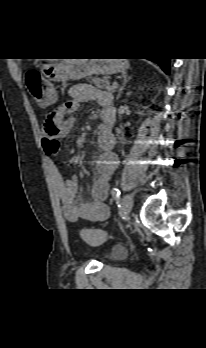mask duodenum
Listing matches in <instances>:
<instances>
[{
    "label": "duodenum",
    "mask_w": 206,
    "mask_h": 348,
    "mask_svg": "<svg viewBox=\"0 0 206 348\" xmlns=\"http://www.w3.org/2000/svg\"><path fill=\"white\" fill-rule=\"evenodd\" d=\"M103 126L99 129L98 137L102 145L111 148L113 144L112 127L116 119L115 106L104 107L102 110Z\"/></svg>",
    "instance_id": "duodenum-1"
}]
</instances>
